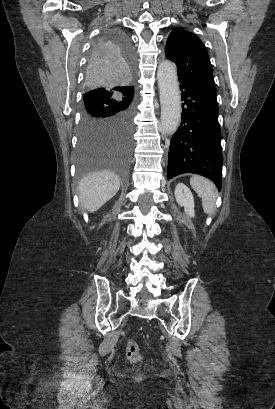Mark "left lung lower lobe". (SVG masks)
I'll use <instances>...</instances> for the list:
<instances>
[{
	"mask_svg": "<svg viewBox=\"0 0 275 409\" xmlns=\"http://www.w3.org/2000/svg\"><path fill=\"white\" fill-rule=\"evenodd\" d=\"M180 82L182 122L169 148L167 178L195 173L222 187L223 156L217 92L192 81Z\"/></svg>",
	"mask_w": 275,
	"mask_h": 409,
	"instance_id": "1",
	"label": "left lung lower lobe"
}]
</instances>
